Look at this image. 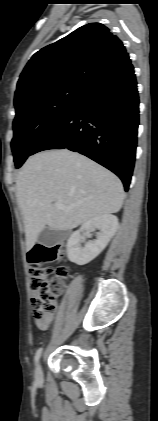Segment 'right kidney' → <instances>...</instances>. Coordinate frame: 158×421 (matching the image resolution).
Instances as JSON below:
<instances>
[{
    "instance_id": "right-kidney-1",
    "label": "right kidney",
    "mask_w": 158,
    "mask_h": 421,
    "mask_svg": "<svg viewBox=\"0 0 158 421\" xmlns=\"http://www.w3.org/2000/svg\"><path fill=\"white\" fill-rule=\"evenodd\" d=\"M118 218L108 214L91 218L83 223L81 228L73 232L67 242L68 259L77 264L85 265L95 259L108 245L118 229ZM99 229L96 239L81 247V232Z\"/></svg>"
}]
</instances>
